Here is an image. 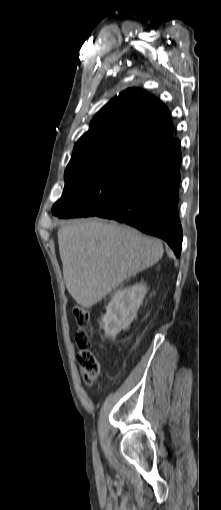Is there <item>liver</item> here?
Masks as SVG:
<instances>
[{"mask_svg":"<svg viewBox=\"0 0 221 510\" xmlns=\"http://www.w3.org/2000/svg\"><path fill=\"white\" fill-rule=\"evenodd\" d=\"M57 235L66 288L85 308L100 302L127 278L156 264L164 253L158 239L98 219L68 222Z\"/></svg>","mask_w":221,"mask_h":510,"instance_id":"1","label":"liver"}]
</instances>
